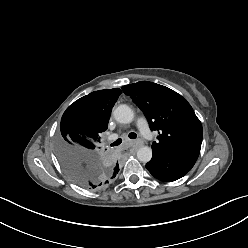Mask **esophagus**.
Masks as SVG:
<instances>
[{
    "label": "esophagus",
    "instance_id": "34e87169",
    "mask_svg": "<svg viewBox=\"0 0 248 248\" xmlns=\"http://www.w3.org/2000/svg\"><path fill=\"white\" fill-rule=\"evenodd\" d=\"M141 142L140 141H133L132 147L133 149H137L138 147L141 146Z\"/></svg>",
    "mask_w": 248,
    "mask_h": 248
}]
</instances>
